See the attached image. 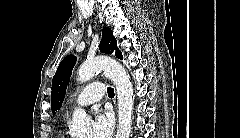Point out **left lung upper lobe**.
I'll list each match as a JSON object with an SVG mask.
<instances>
[{"instance_id":"1","label":"left lung upper lobe","mask_w":240,"mask_h":138,"mask_svg":"<svg viewBox=\"0 0 240 138\" xmlns=\"http://www.w3.org/2000/svg\"><path fill=\"white\" fill-rule=\"evenodd\" d=\"M99 48L101 52L107 54L115 53V56L122 60V53L117 48V41L113 36L112 30L108 27H104L102 30V41ZM75 63V56L69 55L65 57L59 64V67L53 77L51 92V109L53 113L62 106L67 84L70 80Z\"/></svg>"}]
</instances>
